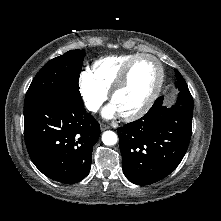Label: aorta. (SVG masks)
<instances>
[{
	"instance_id": "1",
	"label": "aorta",
	"mask_w": 221,
	"mask_h": 221,
	"mask_svg": "<svg viewBox=\"0 0 221 221\" xmlns=\"http://www.w3.org/2000/svg\"><path fill=\"white\" fill-rule=\"evenodd\" d=\"M102 141L107 146L115 145L118 141V137L113 131H105L102 135Z\"/></svg>"
}]
</instances>
